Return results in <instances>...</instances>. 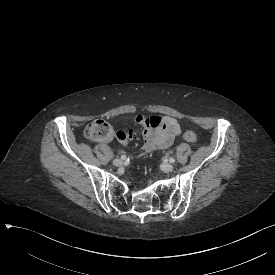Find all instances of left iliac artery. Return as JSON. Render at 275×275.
<instances>
[{
	"instance_id": "left-iliac-artery-1",
	"label": "left iliac artery",
	"mask_w": 275,
	"mask_h": 275,
	"mask_svg": "<svg viewBox=\"0 0 275 275\" xmlns=\"http://www.w3.org/2000/svg\"><path fill=\"white\" fill-rule=\"evenodd\" d=\"M169 161H170L171 163H174V162H175V158L171 157V158L169 159Z\"/></svg>"
}]
</instances>
